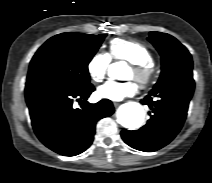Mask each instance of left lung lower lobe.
Here are the masks:
<instances>
[{
    "instance_id": "obj_1",
    "label": "left lung lower lobe",
    "mask_w": 212,
    "mask_h": 183,
    "mask_svg": "<svg viewBox=\"0 0 212 183\" xmlns=\"http://www.w3.org/2000/svg\"><path fill=\"white\" fill-rule=\"evenodd\" d=\"M194 85L192 72H185L155 86L141 101L151 108V118L139 130H123L124 142L144 152L170 143L184 124ZM153 97L158 100L153 101Z\"/></svg>"
}]
</instances>
